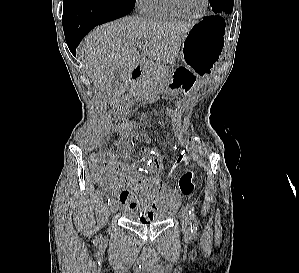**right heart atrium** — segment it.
Returning <instances> with one entry per match:
<instances>
[{
  "mask_svg": "<svg viewBox=\"0 0 299 273\" xmlns=\"http://www.w3.org/2000/svg\"><path fill=\"white\" fill-rule=\"evenodd\" d=\"M149 0H136L137 8L143 13Z\"/></svg>",
  "mask_w": 299,
  "mask_h": 273,
  "instance_id": "obj_1",
  "label": "right heart atrium"
}]
</instances>
